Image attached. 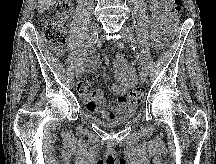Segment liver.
<instances>
[{
  "instance_id": "liver-1",
  "label": "liver",
  "mask_w": 216,
  "mask_h": 164,
  "mask_svg": "<svg viewBox=\"0 0 216 164\" xmlns=\"http://www.w3.org/2000/svg\"><path fill=\"white\" fill-rule=\"evenodd\" d=\"M57 0H38V12L43 13L53 6Z\"/></svg>"
}]
</instances>
